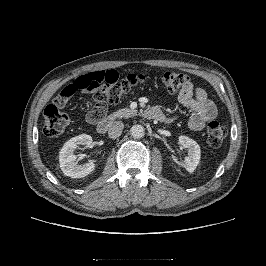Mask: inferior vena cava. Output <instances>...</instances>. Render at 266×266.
I'll use <instances>...</instances> for the list:
<instances>
[{
    "label": "inferior vena cava",
    "mask_w": 266,
    "mask_h": 266,
    "mask_svg": "<svg viewBox=\"0 0 266 266\" xmlns=\"http://www.w3.org/2000/svg\"><path fill=\"white\" fill-rule=\"evenodd\" d=\"M124 124L121 121L113 122L108 130V135L110 138H117L121 135Z\"/></svg>",
    "instance_id": "602c4592"
}]
</instances>
